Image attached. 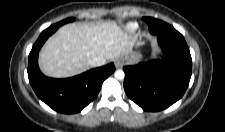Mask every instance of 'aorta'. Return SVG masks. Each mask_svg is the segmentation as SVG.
Masks as SVG:
<instances>
[{"mask_svg": "<svg viewBox=\"0 0 225 132\" xmlns=\"http://www.w3.org/2000/svg\"><path fill=\"white\" fill-rule=\"evenodd\" d=\"M114 76L116 79L118 80H123L124 77H125V73L123 70L119 69V70H116L115 73H114Z\"/></svg>", "mask_w": 225, "mask_h": 132, "instance_id": "aorta-1", "label": "aorta"}]
</instances>
